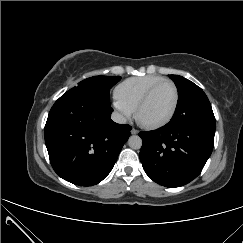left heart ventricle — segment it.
<instances>
[{
	"mask_svg": "<svg viewBox=\"0 0 243 243\" xmlns=\"http://www.w3.org/2000/svg\"><path fill=\"white\" fill-rule=\"evenodd\" d=\"M174 104V90L170 84L160 86L141 110L139 118L145 123H155L165 119Z\"/></svg>",
	"mask_w": 243,
	"mask_h": 243,
	"instance_id": "obj_1",
	"label": "left heart ventricle"
}]
</instances>
